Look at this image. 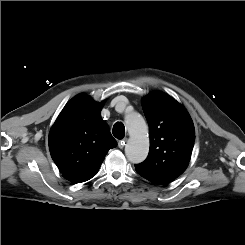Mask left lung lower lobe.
Returning a JSON list of instances; mask_svg holds the SVG:
<instances>
[{
	"instance_id": "left-lung-lower-lobe-1",
	"label": "left lung lower lobe",
	"mask_w": 245,
	"mask_h": 245,
	"mask_svg": "<svg viewBox=\"0 0 245 245\" xmlns=\"http://www.w3.org/2000/svg\"><path fill=\"white\" fill-rule=\"evenodd\" d=\"M136 171H137V173H138L140 176H142L143 178H145V179H147V180H149V181H151V182H153V183H156V184L163 185V184H166V183L170 182V181H167V180L160 179V178H158V177H152V176H149V175H147V174H144V173L140 172V171L137 170V169H136Z\"/></svg>"
}]
</instances>
